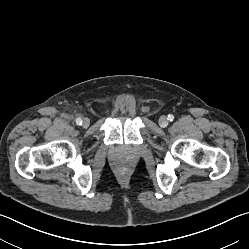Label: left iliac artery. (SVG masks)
<instances>
[{"label":"left iliac artery","mask_w":249,"mask_h":249,"mask_svg":"<svg viewBox=\"0 0 249 249\" xmlns=\"http://www.w3.org/2000/svg\"><path fill=\"white\" fill-rule=\"evenodd\" d=\"M167 119H168L169 121H173L174 116H173L172 114H169L168 117H167Z\"/></svg>","instance_id":"left-iliac-artery-1"}]
</instances>
